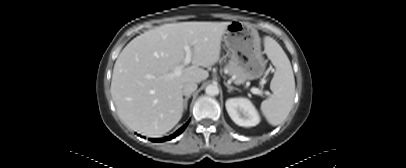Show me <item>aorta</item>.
<instances>
[{
	"label": "aorta",
	"instance_id": "762f6f07",
	"mask_svg": "<svg viewBox=\"0 0 406 168\" xmlns=\"http://www.w3.org/2000/svg\"><path fill=\"white\" fill-rule=\"evenodd\" d=\"M205 92L207 95L216 96L219 94V88L217 85L211 84L206 87Z\"/></svg>",
	"mask_w": 406,
	"mask_h": 168
}]
</instances>
